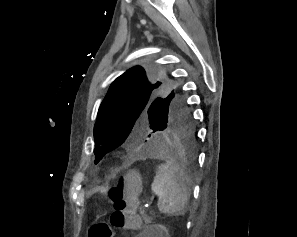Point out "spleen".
<instances>
[{
  "instance_id": "spleen-1",
  "label": "spleen",
  "mask_w": 297,
  "mask_h": 237,
  "mask_svg": "<svg viewBox=\"0 0 297 237\" xmlns=\"http://www.w3.org/2000/svg\"><path fill=\"white\" fill-rule=\"evenodd\" d=\"M158 196V209L170 216H182L189 200L187 180L170 163L161 164L151 185Z\"/></svg>"
}]
</instances>
